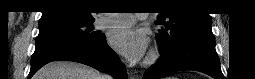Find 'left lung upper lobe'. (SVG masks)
<instances>
[{"label": "left lung upper lobe", "mask_w": 255, "mask_h": 79, "mask_svg": "<svg viewBox=\"0 0 255 79\" xmlns=\"http://www.w3.org/2000/svg\"><path fill=\"white\" fill-rule=\"evenodd\" d=\"M156 2L161 10L156 23L165 27L159 29V34L156 36L160 53L165 54L188 39L214 38L209 14L200 11L180 12L177 8L165 7L175 4L169 0Z\"/></svg>", "instance_id": "obj_1"}]
</instances>
